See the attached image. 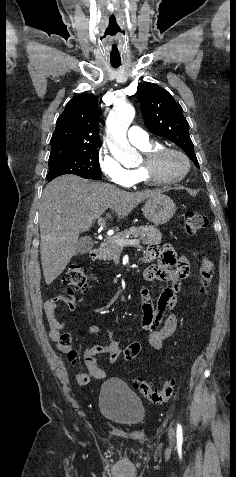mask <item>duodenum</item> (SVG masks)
<instances>
[{
  "label": "duodenum",
  "instance_id": "duodenum-1",
  "mask_svg": "<svg viewBox=\"0 0 236 477\" xmlns=\"http://www.w3.org/2000/svg\"><path fill=\"white\" fill-rule=\"evenodd\" d=\"M99 254H100V247H99V246H96V247H94V248L91 250V252H90V258H91L92 260H96V259L98 258V256H99ZM143 260H144V258H143Z\"/></svg>",
  "mask_w": 236,
  "mask_h": 477
}]
</instances>
